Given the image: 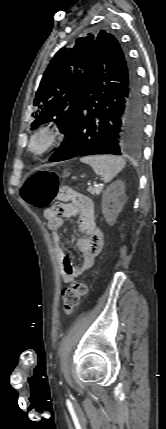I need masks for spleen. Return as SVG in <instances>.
I'll list each match as a JSON object with an SVG mask.
<instances>
[{
    "label": "spleen",
    "instance_id": "1",
    "mask_svg": "<svg viewBox=\"0 0 166 429\" xmlns=\"http://www.w3.org/2000/svg\"><path fill=\"white\" fill-rule=\"evenodd\" d=\"M90 165L95 174L103 177L105 183L110 182L125 166V160L114 155H93L80 159Z\"/></svg>",
    "mask_w": 166,
    "mask_h": 429
}]
</instances>
